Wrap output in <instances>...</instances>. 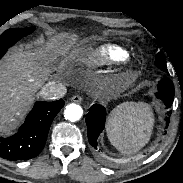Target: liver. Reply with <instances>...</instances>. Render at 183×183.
<instances>
[{"instance_id":"1","label":"liver","mask_w":183,"mask_h":183,"mask_svg":"<svg viewBox=\"0 0 183 183\" xmlns=\"http://www.w3.org/2000/svg\"><path fill=\"white\" fill-rule=\"evenodd\" d=\"M78 41L72 35L42 45L34 53L20 49L0 64V129H11L28 110L48 76L49 60L43 59L54 54H61L66 62L75 59L80 51Z\"/></svg>"}]
</instances>
